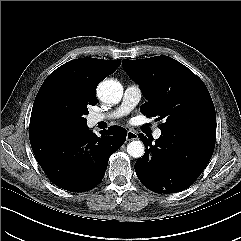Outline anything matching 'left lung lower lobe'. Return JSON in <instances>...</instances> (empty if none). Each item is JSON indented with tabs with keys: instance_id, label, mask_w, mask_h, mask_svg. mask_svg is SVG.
Returning a JSON list of instances; mask_svg holds the SVG:
<instances>
[{
	"instance_id": "0a47b994",
	"label": "left lung lower lobe",
	"mask_w": 241,
	"mask_h": 241,
	"mask_svg": "<svg viewBox=\"0 0 241 241\" xmlns=\"http://www.w3.org/2000/svg\"><path fill=\"white\" fill-rule=\"evenodd\" d=\"M146 147L135 163L139 180L153 192L176 193L188 188L210 161L215 138L176 131L161 130L160 137L139 134Z\"/></svg>"
}]
</instances>
